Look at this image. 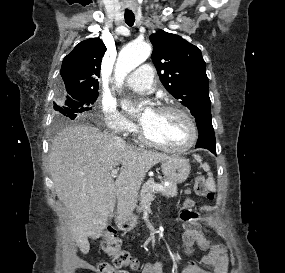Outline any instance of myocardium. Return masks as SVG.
<instances>
[{
    "label": "myocardium",
    "mask_w": 285,
    "mask_h": 273,
    "mask_svg": "<svg viewBox=\"0 0 285 273\" xmlns=\"http://www.w3.org/2000/svg\"><path fill=\"white\" fill-rule=\"evenodd\" d=\"M157 111H173V112L180 114L188 124L189 137L186 140V142L181 145H177V146L166 145V144H162V143L152 140L146 134L145 130L142 127L140 128V131H139V138L144 144L150 147L156 148V149L165 150L169 152H176V153L185 152L195 145L198 139V126H197V123L194 117L191 115V113L187 109H185L184 107L178 104H165V105H161L160 107H158Z\"/></svg>",
    "instance_id": "f54148a6"
}]
</instances>
